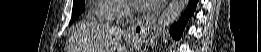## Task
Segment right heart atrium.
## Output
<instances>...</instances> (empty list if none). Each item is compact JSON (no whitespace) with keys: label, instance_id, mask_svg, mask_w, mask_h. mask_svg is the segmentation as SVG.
Here are the masks:
<instances>
[{"label":"right heart atrium","instance_id":"right-heart-atrium-1","mask_svg":"<svg viewBox=\"0 0 261 52\" xmlns=\"http://www.w3.org/2000/svg\"><path fill=\"white\" fill-rule=\"evenodd\" d=\"M130 15L129 9H124L120 12L121 17H128Z\"/></svg>","mask_w":261,"mask_h":52}]
</instances>
